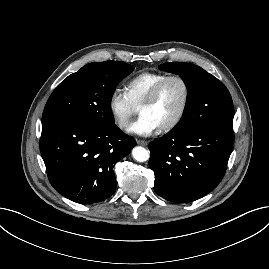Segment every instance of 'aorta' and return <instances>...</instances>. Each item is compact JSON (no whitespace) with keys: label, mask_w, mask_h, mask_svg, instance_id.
Returning a JSON list of instances; mask_svg holds the SVG:
<instances>
[{"label":"aorta","mask_w":269,"mask_h":269,"mask_svg":"<svg viewBox=\"0 0 269 269\" xmlns=\"http://www.w3.org/2000/svg\"><path fill=\"white\" fill-rule=\"evenodd\" d=\"M132 156L138 162H145L150 158V152L141 146H136L132 149Z\"/></svg>","instance_id":"aorta-1"}]
</instances>
